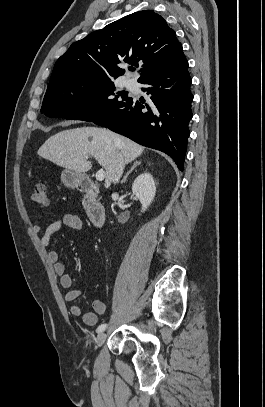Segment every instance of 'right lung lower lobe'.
Returning <instances> with one entry per match:
<instances>
[{
	"mask_svg": "<svg viewBox=\"0 0 265 407\" xmlns=\"http://www.w3.org/2000/svg\"><path fill=\"white\" fill-rule=\"evenodd\" d=\"M191 82L182 53L140 81L146 85L142 90L150 95L149 103L129 98L92 122L168 154L183 170L192 118Z\"/></svg>",
	"mask_w": 265,
	"mask_h": 407,
	"instance_id": "1",
	"label": "right lung lower lobe"
}]
</instances>
